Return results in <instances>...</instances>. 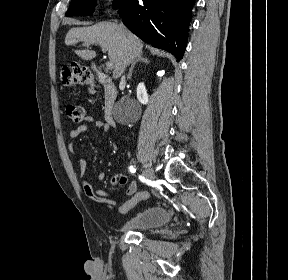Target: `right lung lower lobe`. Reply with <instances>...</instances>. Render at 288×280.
I'll return each mask as SVG.
<instances>
[{"instance_id": "obj_1", "label": "right lung lower lobe", "mask_w": 288, "mask_h": 280, "mask_svg": "<svg viewBox=\"0 0 288 280\" xmlns=\"http://www.w3.org/2000/svg\"><path fill=\"white\" fill-rule=\"evenodd\" d=\"M193 4L194 0H124L118 12L135 35L180 61L186 48Z\"/></svg>"}]
</instances>
